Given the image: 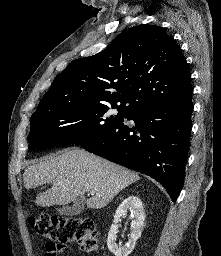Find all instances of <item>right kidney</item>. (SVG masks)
Wrapping results in <instances>:
<instances>
[{
	"label": "right kidney",
	"mask_w": 221,
	"mask_h": 256,
	"mask_svg": "<svg viewBox=\"0 0 221 256\" xmlns=\"http://www.w3.org/2000/svg\"><path fill=\"white\" fill-rule=\"evenodd\" d=\"M128 210L131 212V216L133 218L131 222L130 237L124 246H118L116 244V234L118 230L117 223ZM144 221L145 213L141 200L137 196L127 197L117 208L113 224L111 225L108 233L107 245L110 252L115 256H128L133 251L137 239L141 236Z\"/></svg>",
	"instance_id": "1"
}]
</instances>
